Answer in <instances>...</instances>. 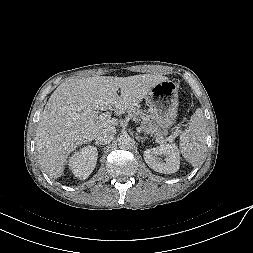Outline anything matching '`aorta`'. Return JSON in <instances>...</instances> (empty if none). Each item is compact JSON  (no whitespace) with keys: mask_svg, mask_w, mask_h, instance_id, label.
Instances as JSON below:
<instances>
[{"mask_svg":"<svg viewBox=\"0 0 253 253\" xmlns=\"http://www.w3.org/2000/svg\"><path fill=\"white\" fill-rule=\"evenodd\" d=\"M132 145V139L128 135H121L118 139V146L121 149H129Z\"/></svg>","mask_w":253,"mask_h":253,"instance_id":"1","label":"aorta"}]
</instances>
